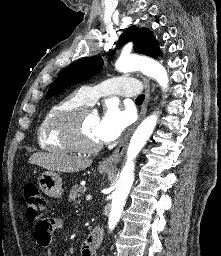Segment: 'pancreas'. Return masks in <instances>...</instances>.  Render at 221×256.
<instances>
[{
    "label": "pancreas",
    "mask_w": 221,
    "mask_h": 256,
    "mask_svg": "<svg viewBox=\"0 0 221 256\" xmlns=\"http://www.w3.org/2000/svg\"><path fill=\"white\" fill-rule=\"evenodd\" d=\"M83 187L75 185L69 193V201H72L76 204L81 202V196L83 195Z\"/></svg>",
    "instance_id": "pancreas-1"
}]
</instances>
